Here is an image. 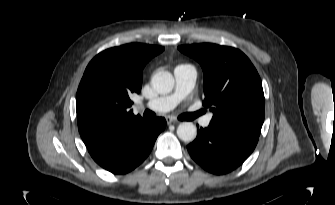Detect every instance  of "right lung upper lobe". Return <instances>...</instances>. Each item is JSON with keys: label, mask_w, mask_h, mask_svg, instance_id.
Listing matches in <instances>:
<instances>
[{"label": "right lung upper lobe", "mask_w": 335, "mask_h": 205, "mask_svg": "<svg viewBox=\"0 0 335 205\" xmlns=\"http://www.w3.org/2000/svg\"><path fill=\"white\" fill-rule=\"evenodd\" d=\"M161 46L130 43L107 49L88 64L76 95L79 133L86 147L117 142L148 120L130 110L146 63Z\"/></svg>", "instance_id": "right-lung-upper-lobe-1"}]
</instances>
